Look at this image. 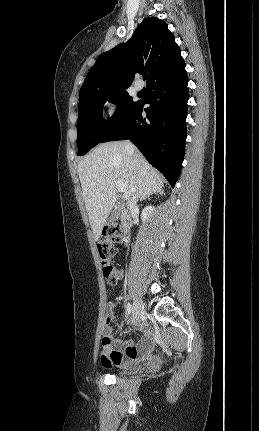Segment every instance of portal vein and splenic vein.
I'll list each match as a JSON object with an SVG mask.
<instances>
[{
	"instance_id": "portal-vein-and-splenic-vein-1",
	"label": "portal vein and splenic vein",
	"mask_w": 259,
	"mask_h": 431,
	"mask_svg": "<svg viewBox=\"0 0 259 431\" xmlns=\"http://www.w3.org/2000/svg\"><path fill=\"white\" fill-rule=\"evenodd\" d=\"M115 186L119 192L125 191V185L121 181H115Z\"/></svg>"
}]
</instances>
